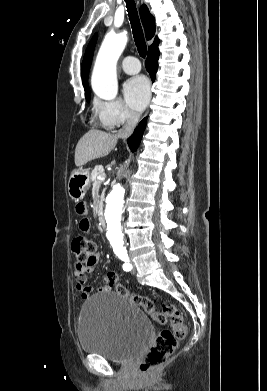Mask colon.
<instances>
[{
  "label": "colon",
  "mask_w": 267,
  "mask_h": 391,
  "mask_svg": "<svg viewBox=\"0 0 267 391\" xmlns=\"http://www.w3.org/2000/svg\"><path fill=\"white\" fill-rule=\"evenodd\" d=\"M71 248L77 265L90 266L96 263L97 245L93 239L78 235L73 238ZM105 280L108 286L114 287L119 294L144 309L156 322L162 325L170 324V330L164 329L157 334L153 345L140 362V372L143 375H149L169 359L179 341L186 337L187 327L183 316L173 304H164L161 310H158L149 298L122 287L118 283V276L115 272H108Z\"/></svg>",
  "instance_id": "obj_1"
}]
</instances>
